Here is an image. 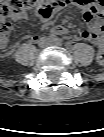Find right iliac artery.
<instances>
[{"label":"right iliac artery","mask_w":104,"mask_h":137,"mask_svg":"<svg viewBox=\"0 0 104 137\" xmlns=\"http://www.w3.org/2000/svg\"><path fill=\"white\" fill-rule=\"evenodd\" d=\"M51 39H52V41H56L57 40L56 36H54V35H51Z\"/></svg>","instance_id":"82829eb1"}]
</instances>
